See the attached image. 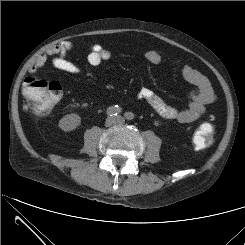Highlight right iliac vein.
<instances>
[{
	"mask_svg": "<svg viewBox=\"0 0 245 245\" xmlns=\"http://www.w3.org/2000/svg\"><path fill=\"white\" fill-rule=\"evenodd\" d=\"M118 123V119L115 117H109L105 121V126L110 127L116 125Z\"/></svg>",
	"mask_w": 245,
	"mask_h": 245,
	"instance_id": "1",
	"label": "right iliac vein"
}]
</instances>
